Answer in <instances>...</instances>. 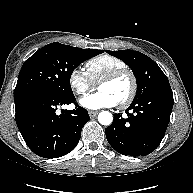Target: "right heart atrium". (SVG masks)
<instances>
[{
    "mask_svg": "<svg viewBox=\"0 0 193 193\" xmlns=\"http://www.w3.org/2000/svg\"><path fill=\"white\" fill-rule=\"evenodd\" d=\"M70 89L78 96H83L95 88V83L91 80L88 73L79 68H73L68 76Z\"/></svg>",
    "mask_w": 193,
    "mask_h": 193,
    "instance_id": "right-heart-atrium-1",
    "label": "right heart atrium"
}]
</instances>
